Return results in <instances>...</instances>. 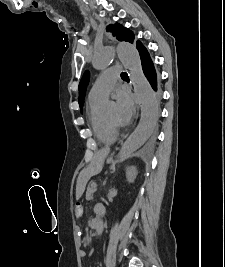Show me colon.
I'll return each mask as SVG.
<instances>
[{"mask_svg": "<svg viewBox=\"0 0 225 267\" xmlns=\"http://www.w3.org/2000/svg\"><path fill=\"white\" fill-rule=\"evenodd\" d=\"M74 212H75V216L77 218H80L82 216V214H83V207H82V205L81 204H77L75 206Z\"/></svg>", "mask_w": 225, "mask_h": 267, "instance_id": "obj_1", "label": "colon"}]
</instances>
